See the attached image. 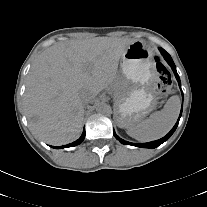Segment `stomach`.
I'll list each match as a JSON object with an SVG mask.
<instances>
[{
	"label": "stomach",
	"instance_id": "0dacf381",
	"mask_svg": "<svg viewBox=\"0 0 207 207\" xmlns=\"http://www.w3.org/2000/svg\"><path fill=\"white\" fill-rule=\"evenodd\" d=\"M122 76L115 87L114 118L117 125L129 124L148 113L154 105L152 82L155 78L153 53L142 41H134L121 56ZM131 82L133 85L126 87Z\"/></svg>",
	"mask_w": 207,
	"mask_h": 207
}]
</instances>
